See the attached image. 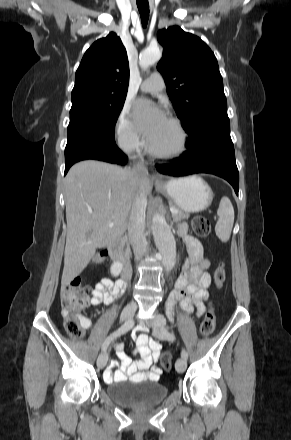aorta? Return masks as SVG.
Instances as JSON below:
<instances>
[{
	"label": "aorta",
	"instance_id": "aorta-1",
	"mask_svg": "<svg viewBox=\"0 0 291 440\" xmlns=\"http://www.w3.org/2000/svg\"><path fill=\"white\" fill-rule=\"evenodd\" d=\"M161 57V49L157 46H150L140 53L139 66L145 71L157 63ZM151 230L156 247L163 256L164 266L168 270L172 269L175 264L176 242L170 227L165 220L155 218Z\"/></svg>",
	"mask_w": 291,
	"mask_h": 440
}]
</instances>
